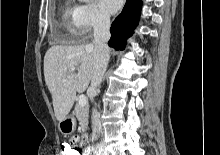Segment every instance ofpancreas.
<instances>
[{"mask_svg": "<svg viewBox=\"0 0 220 155\" xmlns=\"http://www.w3.org/2000/svg\"><path fill=\"white\" fill-rule=\"evenodd\" d=\"M74 113L81 125L82 131H84L88 125V106H80L77 103L74 108Z\"/></svg>", "mask_w": 220, "mask_h": 155, "instance_id": "1", "label": "pancreas"}]
</instances>
